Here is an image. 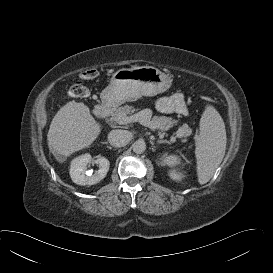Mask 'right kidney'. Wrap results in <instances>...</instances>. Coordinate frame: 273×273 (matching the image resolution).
Here are the masks:
<instances>
[{
  "mask_svg": "<svg viewBox=\"0 0 273 273\" xmlns=\"http://www.w3.org/2000/svg\"><path fill=\"white\" fill-rule=\"evenodd\" d=\"M92 162L90 154H84L71 161L70 176L74 183L78 185H94L107 175L110 162L105 157H98L94 163L99 165V170L86 171L87 165Z\"/></svg>",
  "mask_w": 273,
  "mask_h": 273,
  "instance_id": "right-kidney-1",
  "label": "right kidney"
}]
</instances>
